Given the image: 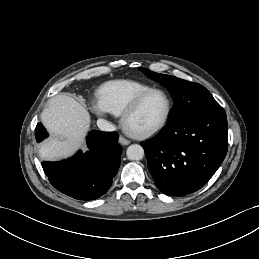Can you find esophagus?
<instances>
[{"instance_id": "34e87169", "label": "esophagus", "mask_w": 259, "mask_h": 259, "mask_svg": "<svg viewBox=\"0 0 259 259\" xmlns=\"http://www.w3.org/2000/svg\"><path fill=\"white\" fill-rule=\"evenodd\" d=\"M119 142L122 144V145H129L130 144V141L126 138H124L123 136H120L119 137Z\"/></svg>"}]
</instances>
